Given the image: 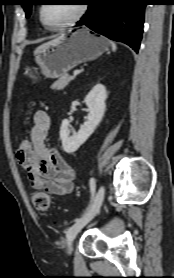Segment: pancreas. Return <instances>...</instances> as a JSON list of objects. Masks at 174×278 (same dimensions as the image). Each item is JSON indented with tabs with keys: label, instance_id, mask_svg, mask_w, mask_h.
<instances>
[{
	"label": "pancreas",
	"instance_id": "1",
	"mask_svg": "<svg viewBox=\"0 0 174 278\" xmlns=\"http://www.w3.org/2000/svg\"><path fill=\"white\" fill-rule=\"evenodd\" d=\"M73 79H74V76H70L68 74H64V75L60 76L59 79L52 84V89H54V90H62Z\"/></svg>",
	"mask_w": 174,
	"mask_h": 278
}]
</instances>
